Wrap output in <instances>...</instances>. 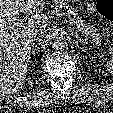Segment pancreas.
<instances>
[{
    "label": "pancreas",
    "mask_w": 113,
    "mask_h": 113,
    "mask_svg": "<svg viewBox=\"0 0 113 113\" xmlns=\"http://www.w3.org/2000/svg\"><path fill=\"white\" fill-rule=\"evenodd\" d=\"M55 9H60L66 7L60 0H55L53 5ZM67 16L70 19V22L74 24L78 31H80L86 38L91 40V43L94 46H99L101 44V35L96 32L92 27L83 22L82 17L78 14V11L74 8H69L67 11Z\"/></svg>",
    "instance_id": "obj_1"
}]
</instances>
